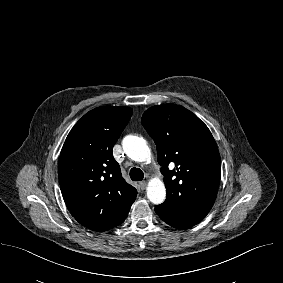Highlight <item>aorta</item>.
<instances>
[{"instance_id":"aorta-1","label":"aorta","mask_w":283,"mask_h":283,"mask_svg":"<svg viewBox=\"0 0 283 283\" xmlns=\"http://www.w3.org/2000/svg\"><path fill=\"white\" fill-rule=\"evenodd\" d=\"M125 154L136 162L150 159L151 151L142 137L128 135L122 141ZM147 197L153 204H161L166 198V188L159 179H152L147 186Z\"/></svg>"}]
</instances>
